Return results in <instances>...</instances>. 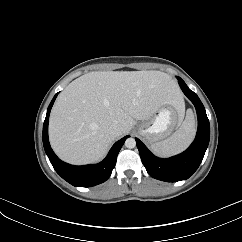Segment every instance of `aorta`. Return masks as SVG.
<instances>
[{
	"mask_svg": "<svg viewBox=\"0 0 242 242\" xmlns=\"http://www.w3.org/2000/svg\"><path fill=\"white\" fill-rule=\"evenodd\" d=\"M125 146L129 149H132L136 146V141L134 138H128L125 141Z\"/></svg>",
	"mask_w": 242,
	"mask_h": 242,
	"instance_id": "1",
	"label": "aorta"
}]
</instances>
